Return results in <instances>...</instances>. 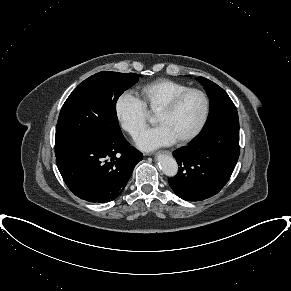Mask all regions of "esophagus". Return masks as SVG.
Instances as JSON below:
<instances>
[{
    "label": "esophagus",
    "mask_w": 291,
    "mask_h": 291,
    "mask_svg": "<svg viewBox=\"0 0 291 291\" xmlns=\"http://www.w3.org/2000/svg\"><path fill=\"white\" fill-rule=\"evenodd\" d=\"M160 153H162V154H167V155H171V152L168 151V150H163V151H161Z\"/></svg>",
    "instance_id": "34e87169"
}]
</instances>
